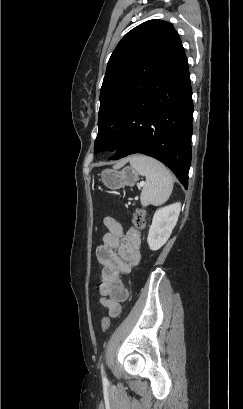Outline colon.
Masks as SVG:
<instances>
[{"mask_svg":"<svg viewBox=\"0 0 243 409\" xmlns=\"http://www.w3.org/2000/svg\"><path fill=\"white\" fill-rule=\"evenodd\" d=\"M135 225L138 227H143L145 225V210L138 208L135 213ZM111 326V319L105 316L101 321V331L106 333Z\"/></svg>","mask_w":243,"mask_h":409,"instance_id":"1","label":"colon"}]
</instances>
